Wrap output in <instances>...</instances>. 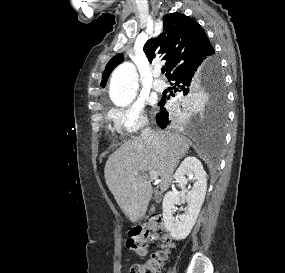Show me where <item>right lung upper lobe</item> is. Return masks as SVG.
Returning <instances> with one entry per match:
<instances>
[{
    "label": "right lung upper lobe",
    "mask_w": 285,
    "mask_h": 273,
    "mask_svg": "<svg viewBox=\"0 0 285 273\" xmlns=\"http://www.w3.org/2000/svg\"><path fill=\"white\" fill-rule=\"evenodd\" d=\"M144 52L150 63L155 59L167 60L165 64L167 78L199 59L214 58L215 54L214 48L199 23L181 13L165 15L163 32L145 43ZM123 59V55L118 54L109 61L103 73L102 87L105 86L112 70Z\"/></svg>",
    "instance_id": "obj_1"
}]
</instances>
